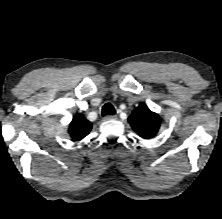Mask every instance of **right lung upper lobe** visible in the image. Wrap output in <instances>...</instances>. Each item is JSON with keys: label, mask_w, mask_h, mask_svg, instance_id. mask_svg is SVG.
Listing matches in <instances>:
<instances>
[{"label": "right lung upper lobe", "mask_w": 222, "mask_h": 219, "mask_svg": "<svg viewBox=\"0 0 222 219\" xmlns=\"http://www.w3.org/2000/svg\"><path fill=\"white\" fill-rule=\"evenodd\" d=\"M92 129L91 123L83 116L77 115L69 125V134L72 139L79 141L89 134Z\"/></svg>", "instance_id": "right-lung-upper-lobe-1"}]
</instances>
